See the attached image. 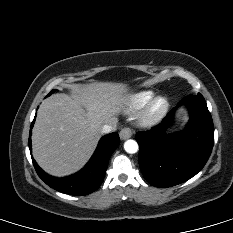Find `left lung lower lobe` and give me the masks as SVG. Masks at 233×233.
<instances>
[{"mask_svg":"<svg viewBox=\"0 0 233 233\" xmlns=\"http://www.w3.org/2000/svg\"><path fill=\"white\" fill-rule=\"evenodd\" d=\"M190 121L185 131L167 136L175 109L150 131L136 133L139 165L144 178L153 186L170 187L195 176L206 164L214 144V126L202 95L185 97Z\"/></svg>","mask_w":233,"mask_h":233,"instance_id":"left-lung-lower-lobe-1","label":"left lung lower lobe"}]
</instances>
